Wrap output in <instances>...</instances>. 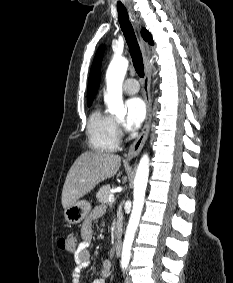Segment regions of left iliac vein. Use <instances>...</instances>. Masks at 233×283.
<instances>
[{
  "label": "left iliac vein",
  "instance_id": "obj_1",
  "mask_svg": "<svg viewBox=\"0 0 233 283\" xmlns=\"http://www.w3.org/2000/svg\"><path fill=\"white\" fill-rule=\"evenodd\" d=\"M125 283H132L131 278L129 276L126 277Z\"/></svg>",
  "mask_w": 233,
  "mask_h": 283
}]
</instances>
